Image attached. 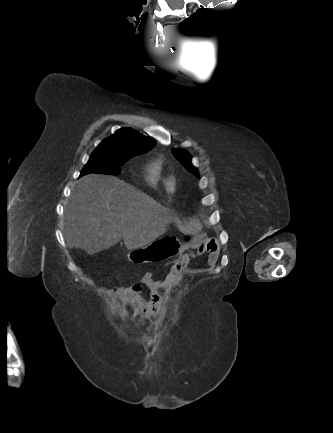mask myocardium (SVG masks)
I'll list each match as a JSON object with an SVG mask.
<instances>
[{"label":"myocardium","instance_id":"myocardium-1","mask_svg":"<svg viewBox=\"0 0 333 433\" xmlns=\"http://www.w3.org/2000/svg\"><path fill=\"white\" fill-rule=\"evenodd\" d=\"M175 184H176V180L174 177H169L168 181H167V186H168V190L170 192H173L175 189Z\"/></svg>","mask_w":333,"mask_h":433}]
</instances>
